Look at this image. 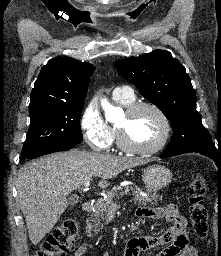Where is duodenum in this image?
Listing matches in <instances>:
<instances>
[{"label": "duodenum", "instance_id": "obj_1", "mask_svg": "<svg viewBox=\"0 0 221 256\" xmlns=\"http://www.w3.org/2000/svg\"><path fill=\"white\" fill-rule=\"evenodd\" d=\"M82 209L85 212H90L93 209V202H91V201L83 202Z\"/></svg>", "mask_w": 221, "mask_h": 256}]
</instances>
